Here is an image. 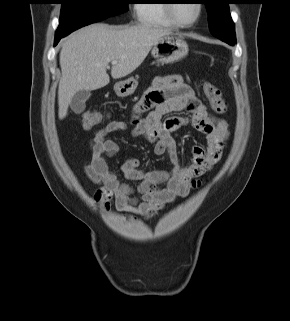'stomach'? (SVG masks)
<instances>
[{
	"mask_svg": "<svg viewBox=\"0 0 290 321\" xmlns=\"http://www.w3.org/2000/svg\"><path fill=\"white\" fill-rule=\"evenodd\" d=\"M188 44L183 37L170 33L159 39L152 48V56L160 64L174 63L188 54ZM138 82L133 77L119 81L114 85V90L119 97H126L134 93Z\"/></svg>",
	"mask_w": 290,
	"mask_h": 321,
	"instance_id": "stomach-1",
	"label": "stomach"
}]
</instances>
